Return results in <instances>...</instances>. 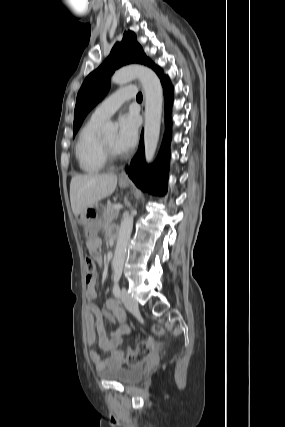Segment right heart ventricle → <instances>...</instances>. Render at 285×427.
<instances>
[{"label":"right heart ventricle","mask_w":285,"mask_h":427,"mask_svg":"<svg viewBox=\"0 0 285 427\" xmlns=\"http://www.w3.org/2000/svg\"><path fill=\"white\" fill-rule=\"evenodd\" d=\"M102 122V120L91 117L81 128L75 144L77 164L80 170L87 174H97L106 166L101 151L100 127Z\"/></svg>","instance_id":"1"}]
</instances>
